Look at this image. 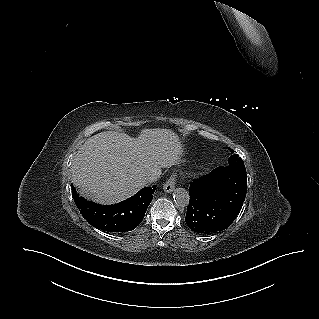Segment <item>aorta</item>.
Wrapping results in <instances>:
<instances>
[{
    "instance_id": "1",
    "label": "aorta",
    "mask_w": 319,
    "mask_h": 319,
    "mask_svg": "<svg viewBox=\"0 0 319 319\" xmlns=\"http://www.w3.org/2000/svg\"><path fill=\"white\" fill-rule=\"evenodd\" d=\"M173 198L175 203L181 207L187 206L189 203V193L184 188H176Z\"/></svg>"
}]
</instances>
